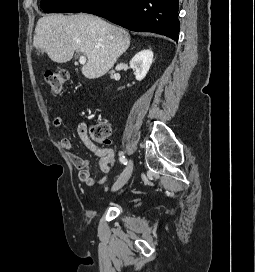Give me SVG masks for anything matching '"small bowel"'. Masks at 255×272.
Segmentation results:
<instances>
[{
	"instance_id": "obj_1",
	"label": "small bowel",
	"mask_w": 255,
	"mask_h": 272,
	"mask_svg": "<svg viewBox=\"0 0 255 272\" xmlns=\"http://www.w3.org/2000/svg\"><path fill=\"white\" fill-rule=\"evenodd\" d=\"M62 124V118L57 116L54 119V125L59 127ZM78 136L83 145L94 155L99 157V168L104 173H109L112 170L114 161V150L109 147H99L89 136L87 126L80 124L77 128ZM60 145L66 153L68 159L73 166L78 170L79 179L88 186H100L107 180L106 176L96 178L91 175V167L85 158L80 156L73 148L71 141L68 138H63Z\"/></svg>"
}]
</instances>
